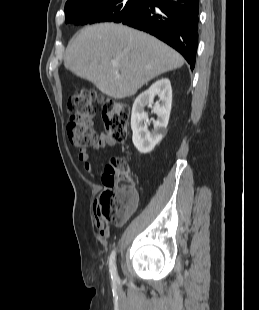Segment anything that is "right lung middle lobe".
Returning <instances> with one entry per match:
<instances>
[{
    "label": "right lung middle lobe",
    "mask_w": 259,
    "mask_h": 310,
    "mask_svg": "<svg viewBox=\"0 0 259 310\" xmlns=\"http://www.w3.org/2000/svg\"><path fill=\"white\" fill-rule=\"evenodd\" d=\"M145 0H101L82 6L65 8V22L87 24L120 22L146 5Z\"/></svg>",
    "instance_id": "right-lung-middle-lobe-1"
}]
</instances>
